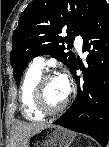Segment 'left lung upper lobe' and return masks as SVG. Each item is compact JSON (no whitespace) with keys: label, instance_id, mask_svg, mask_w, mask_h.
<instances>
[{"label":"left lung upper lobe","instance_id":"1","mask_svg":"<svg viewBox=\"0 0 109 147\" xmlns=\"http://www.w3.org/2000/svg\"><path fill=\"white\" fill-rule=\"evenodd\" d=\"M105 0H33L23 11L12 37L11 65L17 85L28 62L39 55H52L73 72L78 60L67 52L73 36L82 35ZM62 31L68 33L62 37ZM69 49V48H68ZM89 88L95 93L104 84L101 73H91Z\"/></svg>","mask_w":109,"mask_h":147}]
</instances>
